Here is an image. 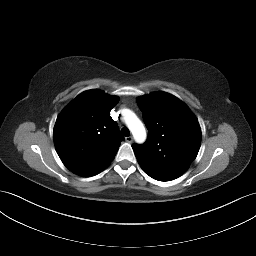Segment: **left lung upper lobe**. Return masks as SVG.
Listing matches in <instances>:
<instances>
[{
	"label": "left lung upper lobe",
	"mask_w": 256,
	"mask_h": 256,
	"mask_svg": "<svg viewBox=\"0 0 256 256\" xmlns=\"http://www.w3.org/2000/svg\"><path fill=\"white\" fill-rule=\"evenodd\" d=\"M149 135L132 148L142 169L152 178L169 181L184 174L196 158L201 129L190 109L177 97L155 92L137 98Z\"/></svg>",
	"instance_id": "left-lung-upper-lobe-1"
}]
</instances>
